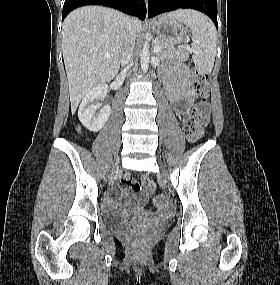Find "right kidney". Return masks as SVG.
<instances>
[{
	"label": "right kidney",
	"mask_w": 280,
	"mask_h": 285,
	"mask_svg": "<svg viewBox=\"0 0 280 285\" xmlns=\"http://www.w3.org/2000/svg\"><path fill=\"white\" fill-rule=\"evenodd\" d=\"M107 92L108 86L106 84H100L85 95L79 106V120L89 131H100L109 118L111 113L110 105H105L100 112H97L100 105L96 103L97 100L105 97Z\"/></svg>",
	"instance_id": "right-kidney-1"
}]
</instances>
